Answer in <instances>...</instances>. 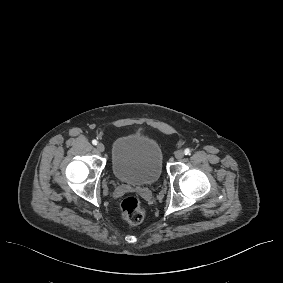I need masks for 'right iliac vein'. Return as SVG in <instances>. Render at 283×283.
Here are the masks:
<instances>
[{
	"instance_id": "63e3f726",
	"label": "right iliac vein",
	"mask_w": 283,
	"mask_h": 283,
	"mask_svg": "<svg viewBox=\"0 0 283 283\" xmlns=\"http://www.w3.org/2000/svg\"><path fill=\"white\" fill-rule=\"evenodd\" d=\"M96 148H97V150H98L99 152H104V150H105V147H104V145H103L102 143H98V144L96 145Z\"/></svg>"
}]
</instances>
